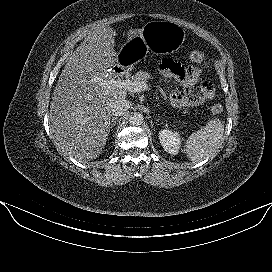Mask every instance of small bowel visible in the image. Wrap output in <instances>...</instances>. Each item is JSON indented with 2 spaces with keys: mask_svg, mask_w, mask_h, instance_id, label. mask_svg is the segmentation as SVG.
I'll list each match as a JSON object with an SVG mask.
<instances>
[{
  "mask_svg": "<svg viewBox=\"0 0 272 272\" xmlns=\"http://www.w3.org/2000/svg\"><path fill=\"white\" fill-rule=\"evenodd\" d=\"M163 76L175 81L180 88L174 89L170 94V102L175 107H196L210 101L215 94V85L211 82L201 81L203 67L185 68L172 59H164L159 65ZM198 91L193 92V88Z\"/></svg>",
  "mask_w": 272,
  "mask_h": 272,
  "instance_id": "obj_1",
  "label": "small bowel"
}]
</instances>
